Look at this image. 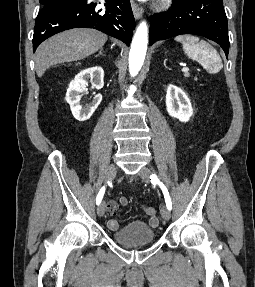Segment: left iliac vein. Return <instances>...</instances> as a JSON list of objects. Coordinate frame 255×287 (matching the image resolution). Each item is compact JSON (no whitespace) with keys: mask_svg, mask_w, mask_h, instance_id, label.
Instances as JSON below:
<instances>
[{"mask_svg":"<svg viewBox=\"0 0 255 287\" xmlns=\"http://www.w3.org/2000/svg\"><path fill=\"white\" fill-rule=\"evenodd\" d=\"M151 170L148 167H142L139 171V176L144 182L150 181ZM161 215L162 218L168 221L171 217L170 210L166 206H162L161 208Z\"/></svg>","mask_w":255,"mask_h":287,"instance_id":"obj_1","label":"left iliac vein"}]
</instances>
